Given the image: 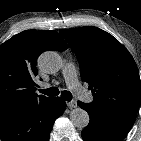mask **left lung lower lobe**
Returning a JSON list of instances; mask_svg holds the SVG:
<instances>
[{"label":"left lung lower lobe","mask_w":141,"mask_h":141,"mask_svg":"<svg viewBox=\"0 0 141 141\" xmlns=\"http://www.w3.org/2000/svg\"><path fill=\"white\" fill-rule=\"evenodd\" d=\"M90 116L88 126L82 131L84 141H122L131 129L136 114L113 113L91 103L78 102Z\"/></svg>","instance_id":"obj_1"}]
</instances>
